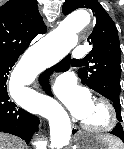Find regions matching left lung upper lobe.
Listing matches in <instances>:
<instances>
[{
	"label": "left lung upper lobe",
	"mask_w": 124,
	"mask_h": 149,
	"mask_svg": "<svg viewBox=\"0 0 124 149\" xmlns=\"http://www.w3.org/2000/svg\"><path fill=\"white\" fill-rule=\"evenodd\" d=\"M78 8L94 12L95 27L87 41L93 46L85 57L90 66L78 72L82 84L109 99L122 122L120 111L121 49L115 23L97 0H65L62 12L66 15Z\"/></svg>",
	"instance_id": "1"
}]
</instances>
